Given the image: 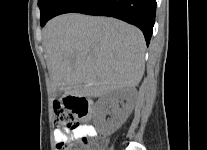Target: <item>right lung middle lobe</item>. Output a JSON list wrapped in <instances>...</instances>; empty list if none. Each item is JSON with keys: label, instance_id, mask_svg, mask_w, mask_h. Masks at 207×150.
<instances>
[{"label": "right lung middle lobe", "instance_id": "obj_1", "mask_svg": "<svg viewBox=\"0 0 207 150\" xmlns=\"http://www.w3.org/2000/svg\"><path fill=\"white\" fill-rule=\"evenodd\" d=\"M63 0H38V6L40 8L41 17L40 23L43 25L49 19H51Z\"/></svg>", "mask_w": 207, "mask_h": 150}]
</instances>
